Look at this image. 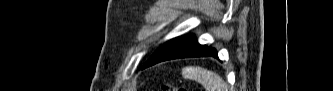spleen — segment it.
Returning <instances> with one entry per match:
<instances>
[{"mask_svg":"<svg viewBox=\"0 0 333 91\" xmlns=\"http://www.w3.org/2000/svg\"><path fill=\"white\" fill-rule=\"evenodd\" d=\"M182 75L186 79L200 83L206 91H228L227 84L218 74L202 67H185Z\"/></svg>","mask_w":333,"mask_h":91,"instance_id":"spleen-1","label":"spleen"}]
</instances>
